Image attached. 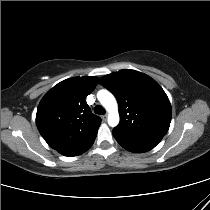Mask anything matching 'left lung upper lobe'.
<instances>
[{
	"label": "left lung upper lobe",
	"mask_w": 210,
	"mask_h": 210,
	"mask_svg": "<svg viewBox=\"0 0 210 210\" xmlns=\"http://www.w3.org/2000/svg\"><path fill=\"white\" fill-rule=\"evenodd\" d=\"M99 83L115 95L119 104L115 139L134 148H154L167 133L172 116L171 104L160 85L135 70L106 75Z\"/></svg>",
	"instance_id": "obj_1"
}]
</instances>
